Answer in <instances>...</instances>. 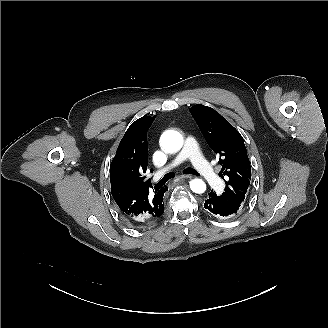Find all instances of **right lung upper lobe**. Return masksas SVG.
Masks as SVG:
<instances>
[{
  "instance_id": "1",
  "label": "right lung upper lobe",
  "mask_w": 328,
  "mask_h": 328,
  "mask_svg": "<svg viewBox=\"0 0 328 328\" xmlns=\"http://www.w3.org/2000/svg\"><path fill=\"white\" fill-rule=\"evenodd\" d=\"M154 117L144 116L127 129L110 165L111 193L122 215L143 226L155 221L163 213V196L168 188L154 193L147 179V131Z\"/></svg>"
}]
</instances>
